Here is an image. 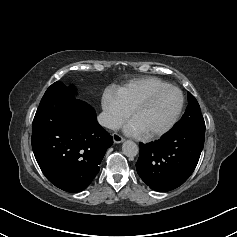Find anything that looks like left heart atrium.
I'll list each match as a JSON object with an SVG mask.
<instances>
[{
  "label": "left heart atrium",
  "mask_w": 237,
  "mask_h": 237,
  "mask_svg": "<svg viewBox=\"0 0 237 237\" xmlns=\"http://www.w3.org/2000/svg\"><path fill=\"white\" fill-rule=\"evenodd\" d=\"M126 132L130 135H139L142 133L133 121H131L127 124Z\"/></svg>",
  "instance_id": "left-heart-atrium-1"
}]
</instances>
